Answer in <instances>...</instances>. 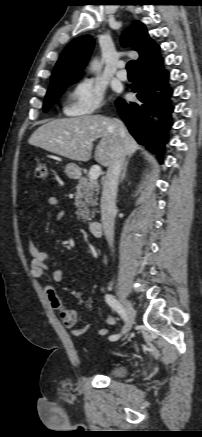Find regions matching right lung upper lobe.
<instances>
[{
    "label": "right lung upper lobe",
    "mask_w": 202,
    "mask_h": 437,
    "mask_svg": "<svg viewBox=\"0 0 202 437\" xmlns=\"http://www.w3.org/2000/svg\"><path fill=\"white\" fill-rule=\"evenodd\" d=\"M124 46H132L139 53L135 66L151 61L159 55V46L149 37L144 24L134 21L121 37ZM94 39L83 35L74 39L62 52L51 76L50 83L81 77V70L86 66L94 48Z\"/></svg>",
    "instance_id": "obj_1"
}]
</instances>
